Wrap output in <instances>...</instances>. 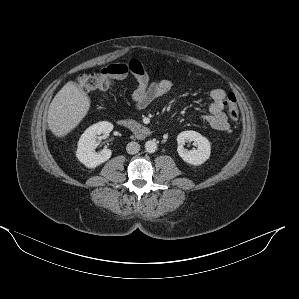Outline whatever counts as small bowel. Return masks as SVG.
Wrapping results in <instances>:
<instances>
[{
    "label": "small bowel",
    "mask_w": 299,
    "mask_h": 299,
    "mask_svg": "<svg viewBox=\"0 0 299 299\" xmlns=\"http://www.w3.org/2000/svg\"><path fill=\"white\" fill-rule=\"evenodd\" d=\"M124 66L127 73L123 78H125L128 73H131L137 81V87L131 96L132 104L137 109L147 107L172 88L171 81L167 79L150 80L148 73L136 59L131 60ZM210 98L209 114L204 116L203 119L212 129L218 132H224L229 128L227 116L224 112L226 92L220 88L213 89L210 92Z\"/></svg>",
    "instance_id": "1"
}]
</instances>
